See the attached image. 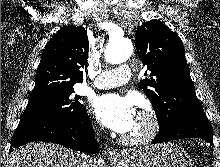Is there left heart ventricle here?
Wrapping results in <instances>:
<instances>
[{
  "mask_svg": "<svg viewBox=\"0 0 220 167\" xmlns=\"http://www.w3.org/2000/svg\"><path fill=\"white\" fill-rule=\"evenodd\" d=\"M145 127H146V122L144 118L141 117L139 114H137L132 128L128 132H126L125 135L127 136L139 135L144 131Z\"/></svg>",
  "mask_w": 220,
  "mask_h": 167,
  "instance_id": "left-heart-ventricle-1",
  "label": "left heart ventricle"
}]
</instances>
